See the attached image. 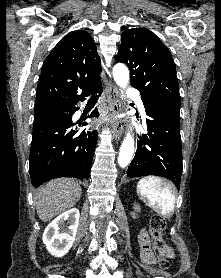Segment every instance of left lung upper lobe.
<instances>
[{
  "instance_id": "left-lung-upper-lobe-1",
  "label": "left lung upper lobe",
  "mask_w": 221,
  "mask_h": 278,
  "mask_svg": "<svg viewBox=\"0 0 221 278\" xmlns=\"http://www.w3.org/2000/svg\"><path fill=\"white\" fill-rule=\"evenodd\" d=\"M116 61L129 66L131 86L142 96L180 108L179 85L171 53L150 30L125 29Z\"/></svg>"
}]
</instances>
